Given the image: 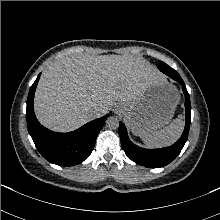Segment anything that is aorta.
Segmentation results:
<instances>
[{
    "mask_svg": "<svg viewBox=\"0 0 220 220\" xmlns=\"http://www.w3.org/2000/svg\"><path fill=\"white\" fill-rule=\"evenodd\" d=\"M106 126L109 128V129H117L119 127V120L118 118L116 117H109L107 120H106Z\"/></svg>",
    "mask_w": 220,
    "mask_h": 220,
    "instance_id": "1",
    "label": "aorta"
}]
</instances>
